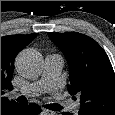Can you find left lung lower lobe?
I'll use <instances>...</instances> for the list:
<instances>
[{"instance_id":"1","label":"left lung lower lobe","mask_w":115,"mask_h":115,"mask_svg":"<svg viewBox=\"0 0 115 115\" xmlns=\"http://www.w3.org/2000/svg\"><path fill=\"white\" fill-rule=\"evenodd\" d=\"M63 115H73L72 113H69V112H63L62 113ZM79 115V114H78Z\"/></svg>"}]
</instances>
